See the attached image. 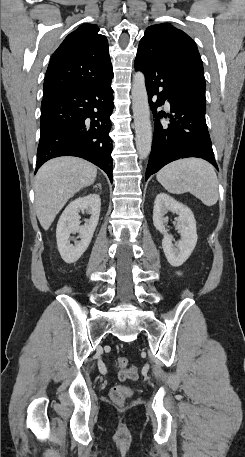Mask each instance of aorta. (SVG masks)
<instances>
[{"label":"aorta","mask_w":245,"mask_h":457,"mask_svg":"<svg viewBox=\"0 0 245 457\" xmlns=\"http://www.w3.org/2000/svg\"><path fill=\"white\" fill-rule=\"evenodd\" d=\"M132 109L135 124L136 148L140 159H145L152 144V127L148 95L145 86V76L142 72H136L132 82Z\"/></svg>","instance_id":"1"}]
</instances>
